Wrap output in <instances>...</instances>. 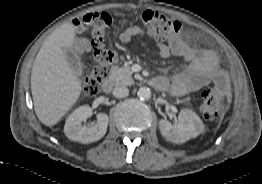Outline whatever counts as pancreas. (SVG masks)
I'll use <instances>...</instances> for the list:
<instances>
[{"mask_svg":"<svg viewBox=\"0 0 262 184\" xmlns=\"http://www.w3.org/2000/svg\"><path fill=\"white\" fill-rule=\"evenodd\" d=\"M110 73V79L114 81L116 85L129 86L134 84L129 65H125L124 67L113 66Z\"/></svg>","mask_w":262,"mask_h":184,"instance_id":"pancreas-1","label":"pancreas"}]
</instances>
